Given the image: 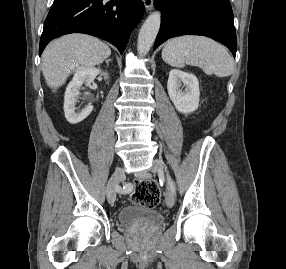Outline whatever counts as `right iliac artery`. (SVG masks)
<instances>
[{
	"instance_id": "82829eb1",
	"label": "right iliac artery",
	"mask_w": 286,
	"mask_h": 269,
	"mask_svg": "<svg viewBox=\"0 0 286 269\" xmlns=\"http://www.w3.org/2000/svg\"><path fill=\"white\" fill-rule=\"evenodd\" d=\"M126 187H123V189H121V188H116V190L118 191V192H121V193H125L126 192V189H125Z\"/></svg>"
}]
</instances>
